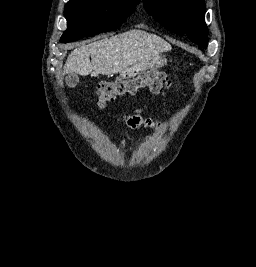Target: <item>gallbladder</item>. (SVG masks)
<instances>
[{"mask_svg": "<svg viewBox=\"0 0 256 267\" xmlns=\"http://www.w3.org/2000/svg\"><path fill=\"white\" fill-rule=\"evenodd\" d=\"M65 82H66V86H69V88H75V86H78L79 84V78L77 74H69Z\"/></svg>", "mask_w": 256, "mask_h": 267, "instance_id": "1", "label": "gallbladder"}]
</instances>
